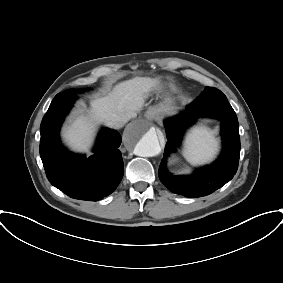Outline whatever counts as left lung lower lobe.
I'll list each match as a JSON object with an SVG mask.
<instances>
[{"instance_id": "obj_1", "label": "left lung lower lobe", "mask_w": 283, "mask_h": 283, "mask_svg": "<svg viewBox=\"0 0 283 283\" xmlns=\"http://www.w3.org/2000/svg\"><path fill=\"white\" fill-rule=\"evenodd\" d=\"M210 117L221 121L223 150L213 164L198 169L190 176L170 174L166 169L167 157L176 151L183 128L196 118ZM168 142L158 175L171 191L186 197H202L211 194L230 181L236 174L240 156V137L237 116L228 100H213L204 92L177 117L166 120Z\"/></svg>"}]
</instances>
